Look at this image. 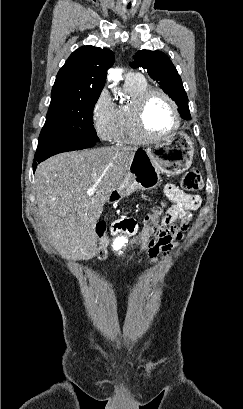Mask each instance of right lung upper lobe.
Segmentation results:
<instances>
[{
	"label": "right lung upper lobe",
	"mask_w": 243,
	"mask_h": 409,
	"mask_svg": "<svg viewBox=\"0 0 243 409\" xmlns=\"http://www.w3.org/2000/svg\"><path fill=\"white\" fill-rule=\"evenodd\" d=\"M113 63L114 54L109 49L91 45L78 48L59 70L51 102L98 100Z\"/></svg>",
	"instance_id": "1"
}]
</instances>
